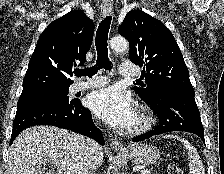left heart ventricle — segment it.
<instances>
[{
	"label": "left heart ventricle",
	"instance_id": "left-heart-ventricle-1",
	"mask_svg": "<svg viewBox=\"0 0 224 174\" xmlns=\"http://www.w3.org/2000/svg\"><path fill=\"white\" fill-rule=\"evenodd\" d=\"M136 122H137V114H136V117H135V119L133 120V122L130 126H133L134 124H136Z\"/></svg>",
	"mask_w": 224,
	"mask_h": 174
}]
</instances>
